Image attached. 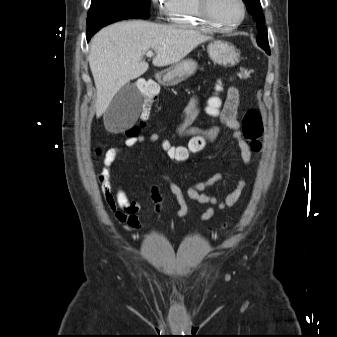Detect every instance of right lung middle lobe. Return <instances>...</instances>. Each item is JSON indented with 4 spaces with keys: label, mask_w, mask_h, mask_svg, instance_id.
Listing matches in <instances>:
<instances>
[{
    "label": "right lung middle lobe",
    "mask_w": 337,
    "mask_h": 337,
    "mask_svg": "<svg viewBox=\"0 0 337 337\" xmlns=\"http://www.w3.org/2000/svg\"><path fill=\"white\" fill-rule=\"evenodd\" d=\"M150 0H92L87 24L102 18H149Z\"/></svg>",
    "instance_id": "obj_1"
}]
</instances>
